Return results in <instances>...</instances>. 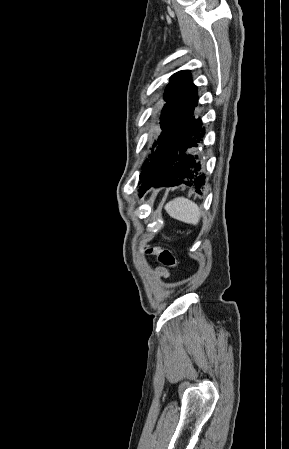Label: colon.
Returning <instances> with one entry per match:
<instances>
[{
    "label": "colon",
    "instance_id": "5ec220e1",
    "mask_svg": "<svg viewBox=\"0 0 289 449\" xmlns=\"http://www.w3.org/2000/svg\"><path fill=\"white\" fill-rule=\"evenodd\" d=\"M147 254H156L158 256V260L161 264L164 266L170 267V268H177L178 263L173 255V253L168 250L161 247H152L146 249Z\"/></svg>",
    "mask_w": 289,
    "mask_h": 449
}]
</instances>
